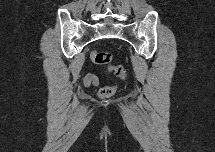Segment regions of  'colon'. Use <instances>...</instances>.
<instances>
[{"mask_svg": "<svg viewBox=\"0 0 215 152\" xmlns=\"http://www.w3.org/2000/svg\"><path fill=\"white\" fill-rule=\"evenodd\" d=\"M90 58L95 64L106 66L108 71L113 73L116 77L125 79L126 73L124 68L121 65H111L112 55L110 52L93 50L90 53ZM116 90V85H106L100 88L98 95L100 98L106 99L114 95Z\"/></svg>", "mask_w": 215, "mask_h": 152, "instance_id": "obj_1", "label": "colon"}]
</instances>
